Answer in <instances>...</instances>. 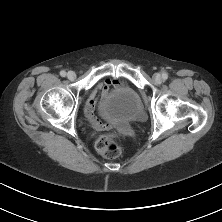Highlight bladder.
I'll use <instances>...</instances> for the list:
<instances>
[{"label": "bladder", "mask_w": 222, "mask_h": 222, "mask_svg": "<svg viewBox=\"0 0 222 222\" xmlns=\"http://www.w3.org/2000/svg\"><path fill=\"white\" fill-rule=\"evenodd\" d=\"M100 112L105 118L117 122L138 123L146 117L142 100L131 87H121L110 92Z\"/></svg>", "instance_id": "1"}]
</instances>
